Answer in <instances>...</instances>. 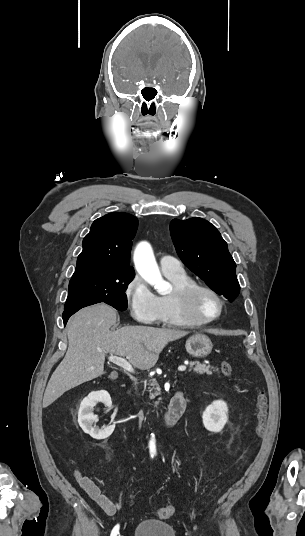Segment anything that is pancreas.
<instances>
[{"instance_id":"pancreas-1","label":"pancreas","mask_w":305,"mask_h":536,"mask_svg":"<svg viewBox=\"0 0 305 536\" xmlns=\"http://www.w3.org/2000/svg\"><path fill=\"white\" fill-rule=\"evenodd\" d=\"M189 366L190 370L197 372V374H207V376H211L212 372H218V368H213V366H208V364H200V362H189ZM150 386H157V384L156 382H152ZM156 390H158V388H148V392H150V400H154L155 396H160V392H156ZM155 404H158V402H155Z\"/></svg>"}]
</instances>
